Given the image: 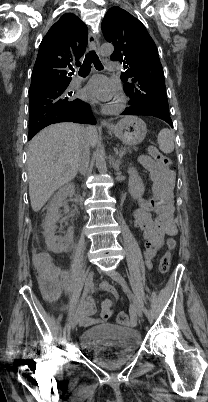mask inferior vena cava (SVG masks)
Instances as JSON below:
<instances>
[{"label": "inferior vena cava", "mask_w": 208, "mask_h": 402, "mask_svg": "<svg viewBox=\"0 0 208 402\" xmlns=\"http://www.w3.org/2000/svg\"><path fill=\"white\" fill-rule=\"evenodd\" d=\"M82 134H85L84 128L82 130ZM76 158L78 160V170L82 176H85V174H88L90 160L89 142L86 140V138H81L78 150L76 152Z\"/></svg>", "instance_id": "1"}]
</instances>
